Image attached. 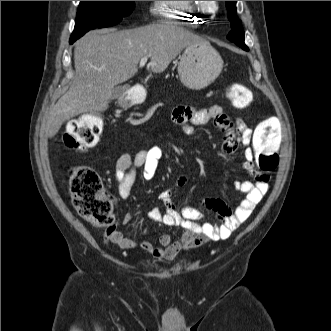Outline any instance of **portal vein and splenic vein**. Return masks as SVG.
<instances>
[{"instance_id": "obj_1", "label": "portal vein and splenic vein", "mask_w": 331, "mask_h": 331, "mask_svg": "<svg viewBox=\"0 0 331 331\" xmlns=\"http://www.w3.org/2000/svg\"><path fill=\"white\" fill-rule=\"evenodd\" d=\"M148 58L149 56H145L140 60V67H143L146 64Z\"/></svg>"}]
</instances>
